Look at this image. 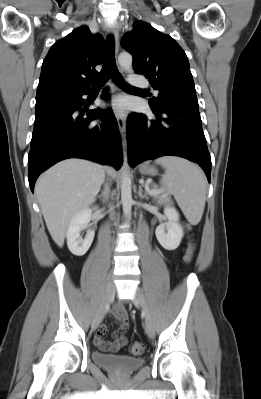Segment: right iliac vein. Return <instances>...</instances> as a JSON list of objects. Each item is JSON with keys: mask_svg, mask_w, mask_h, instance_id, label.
I'll return each instance as SVG.
<instances>
[{"mask_svg": "<svg viewBox=\"0 0 261 399\" xmlns=\"http://www.w3.org/2000/svg\"><path fill=\"white\" fill-rule=\"evenodd\" d=\"M115 292H116L115 284L113 283V281H110L107 284L104 297H103V299H102V301H101V303H100V305H99V307H98V309H97V311H96V313H95V315L93 317V320H92V323H91L92 330H96V328L101 323V321L103 319V316H104V313H105V310H106V307L113 300Z\"/></svg>", "mask_w": 261, "mask_h": 399, "instance_id": "obj_1", "label": "right iliac vein"}]
</instances>
